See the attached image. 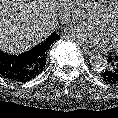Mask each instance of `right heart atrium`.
Wrapping results in <instances>:
<instances>
[{
  "mask_svg": "<svg viewBox=\"0 0 118 118\" xmlns=\"http://www.w3.org/2000/svg\"><path fill=\"white\" fill-rule=\"evenodd\" d=\"M62 6L59 13V19L63 24L76 22L79 17V0H61Z\"/></svg>",
  "mask_w": 118,
  "mask_h": 118,
  "instance_id": "d8ad5b80",
  "label": "right heart atrium"
}]
</instances>
